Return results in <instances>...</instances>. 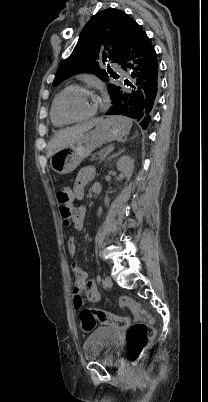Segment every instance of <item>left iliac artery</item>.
<instances>
[{
  "mask_svg": "<svg viewBox=\"0 0 208 402\" xmlns=\"http://www.w3.org/2000/svg\"><path fill=\"white\" fill-rule=\"evenodd\" d=\"M97 281H98V282L101 281V276H100V275L97 276Z\"/></svg>",
  "mask_w": 208,
  "mask_h": 402,
  "instance_id": "1",
  "label": "left iliac artery"
}]
</instances>
